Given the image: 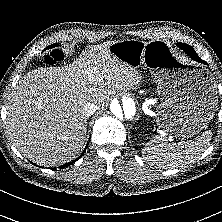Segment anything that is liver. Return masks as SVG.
<instances>
[{
	"label": "liver",
	"instance_id": "obj_1",
	"mask_svg": "<svg viewBox=\"0 0 222 222\" xmlns=\"http://www.w3.org/2000/svg\"><path fill=\"white\" fill-rule=\"evenodd\" d=\"M94 45L71 64L38 68L24 75L8 99L6 124L15 147L41 166L76 158L87 132V103L99 106L118 90L137 87L136 68Z\"/></svg>",
	"mask_w": 222,
	"mask_h": 222
}]
</instances>
